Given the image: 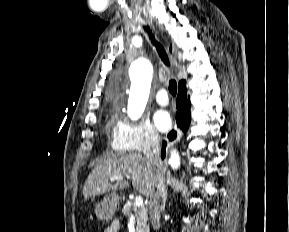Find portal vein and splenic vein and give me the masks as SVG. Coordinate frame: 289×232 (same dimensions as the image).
<instances>
[{"mask_svg": "<svg viewBox=\"0 0 289 232\" xmlns=\"http://www.w3.org/2000/svg\"><path fill=\"white\" fill-rule=\"evenodd\" d=\"M109 180L111 182L121 181V180H123V176H121V175L113 176V177H110ZM134 205L137 206V207L143 205V198L141 196H136V198L134 200Z\"/></svg>", "mask_w": 289, "mask_h": 232, "instance_id": "1", "label": "portal vein and splenic vein"}]
</instances>
